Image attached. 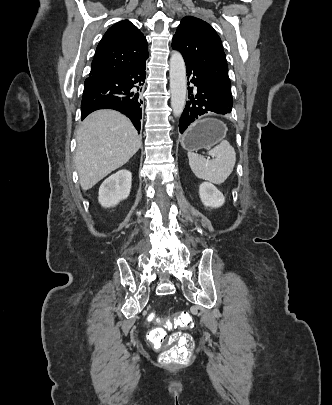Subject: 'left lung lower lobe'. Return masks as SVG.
<instances>
[{"label":"left lung lower lobe","mask_w":332,"mask_h":405,"mask_svg":"<svg viewBox=\"0 0 332 405\" xmlns=\"http://www.w3.org/2000/svg\"><path fill=\"white\" fill-rule=\"evenodd\" d=\"M185 64L188 79H191L190 82L195 87H188L190 100L186 103L180 118V133H183L190 123L198 119L199 116L209 111L224 115L230 113L232 110V108L230 109L223 104L216 88L202 71L189 63Z\"/></svg>","instance_id":"left-lung-lower-lobe-1"}]
</instances>
